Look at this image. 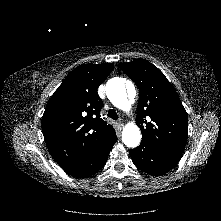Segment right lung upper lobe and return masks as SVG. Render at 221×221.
I'll use <instances>...</instances> for the list:
<instances>
[{
  "instance_id": "right-lung-upper-lobe-1",
  "label": "right lung upper lobe",
  "mask_w": 221,
  "mask_h": 221,
  "mask_svg": "<svg viewBox=\"0 0 221 221\" xmlns=\"http://www.w3.org/2000/svg\"><path fill=\"white\" fill-rule=\"evenodd\" d=\"M113 67L112 63L76 67L48 101L42 131L51 155L62 168L83 161L116 135L100 117L103 103L97 92Z\"/></svg>"
}]
</instances>
